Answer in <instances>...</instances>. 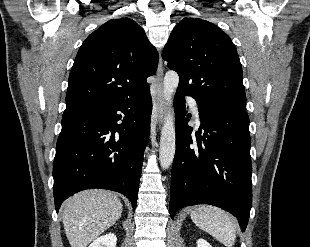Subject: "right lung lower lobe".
Returning a JSON list of instances; mask_svg holds the SVG:
<instances>
[{"label": "right lung lower lobe", "mask_w": 310, "mask_h": 247, "mask_svg": "<svg viewBox=\"0 0 310 247\" xmlns=\"http://www.w3.org/2000/svg\"><path fill=\"white\" fill-rule=\"evenodd\" d=\"M151 111L149 89L64 111L53 164L57 212L69 196L90 188L122 193L136 207Z\"/></svg>", "instance_id": "1"}]
</instances>
